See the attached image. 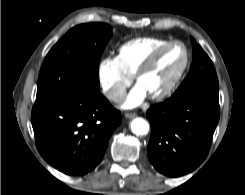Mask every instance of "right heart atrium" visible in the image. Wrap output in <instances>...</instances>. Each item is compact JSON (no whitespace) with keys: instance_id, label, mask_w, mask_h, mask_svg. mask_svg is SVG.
I'll return each instance as SVG.
<instances>
[{"instance_id":"right-heart-atrium-1","label":"right heart atrium","mask_w":245,"mask_h":195,"mask_svg":"<svg viewBox=\"0 0 245 195\" xmlns=\"http://www.w3.org/2000/svg\"><path fill=\"white\" fill-rule=\"evenodd\" d=\"M97 78L102 92L113 102H120L124 98L132 82V76L122 69L116 57H105L99 61Z\"/></svg>"}]
</instances>
